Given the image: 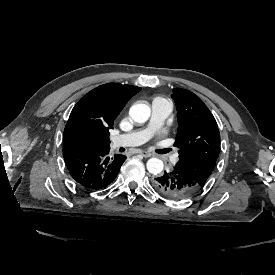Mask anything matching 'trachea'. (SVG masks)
I'll return each mask as SVG.
<instances>
[{
  "instance_id": "1",
  "label": "trachea",
  "mask_w": 275,
  "mask_h": 275,
  "mask_svg": "<svg viewBox=\"0 0 275 275\" xmlns=\"http://www.w3.org/2000/svg\"><path fill=\"white\" fill-rule=\"evenodd\" d=\"M170 151H171V148L162 149V150L160 151V153H161V154H165V153H168V152H170Z\"/></svg>"
}]
</instances>
